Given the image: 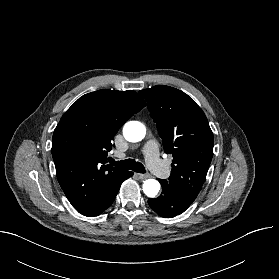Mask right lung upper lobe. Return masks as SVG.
Wrapping results in <instances>:
<instances>
[{
  "instance_id": "1",
  "label": "right lung upper lobe",
  "mask_w": 279,
  "mask_h": 279,
  "mask_svg": "<svg viewBox=\"0 0 279 279\" xmlns=\"http://www.w3.org/2000/svg\"><path fill=\"white\" fill-rule=\"evenodd\" d=\"M146 103L136 92L98 90L80 97L55 128L52 156L59 184L80 213L94 208L126 170L107 164L112 140Z\"/></svg>"
}]
</instances>
